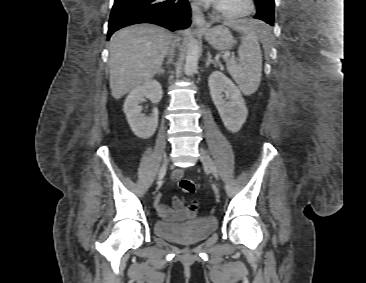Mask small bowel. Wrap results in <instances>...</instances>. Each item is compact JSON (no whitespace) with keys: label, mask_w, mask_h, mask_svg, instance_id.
Segmentation results:
<instances>
[{"label":"small bowel","mask_w":366,"mask_h":283,"mask_svg":"<svg viewBox=\"0 0 366 283\" xmlns=\"http://www.w3.org/2000/svg\"><path fill=\"white\" fill-rule=\"evenodd\" d=\"M184 175V172L182 169H176L172 173V180L179 181ZM156 208L158 210V213L160 216L167 220H173L175 218H183L185 216V209L183 207V204L181 200L175 199L174 200V207L175 212L171 211L164 202L161 200V196L157 195L155 199Z\"/></svg>","instance_id":"1"}]
</instances>
